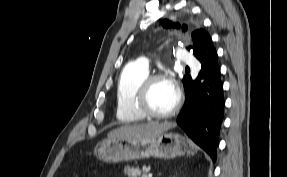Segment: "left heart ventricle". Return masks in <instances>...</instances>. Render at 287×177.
<instances>
[{"label": "left heart ventricle", "instance_id": "b2bd125f", "mask_svg": "<svg viewBox=\"0 0 287 177\" xmlns=\"http://www.w3.org/2000/svg\"><path fill=\"white\" fill-rule=\"evenodd\" d=\"M176 92L173 85L168 81H158L151 88L148 105L156 113L170 110L175 103Z\"/></svg>", "mask_w": 287, "mask_h": 177}]
</instances>
